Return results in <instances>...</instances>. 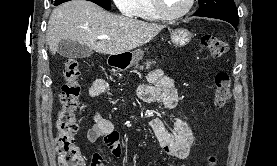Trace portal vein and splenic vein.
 <instances>
[{"label":"portal vein and splenic vein","mask_w":277,"mask_h":166,"mask_svg":"<svg viewBox=\"0 0 277 166\" xmlns=\"http://www.w3.org/2000/svg\"><path fill=\"white\" fill-rule=\"evenodd\" d=\"M98 39H109V36L103 35V36H98Z\"/></svg>","instance_id":"1"}]
</instances>
